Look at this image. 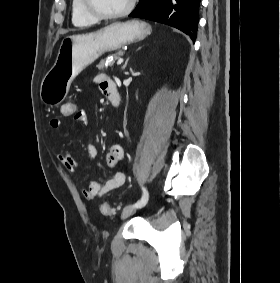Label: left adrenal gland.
<instances>
[{
	"label": "left adrenal gland",
	"mask_w": 280,
	"mask_h": 283,
	"mask_svg": "<svg viewBox=\"0 0 280 283\" xmlns=\"http://www.w3.org/2000/svg\"><path fill=\"white\" fill-rule=\"evenodd\" d=\"M129 58L125 61L124 65L122 66V70H124L128 64Z\"/></svg>",
	"instance_id": "a2214340"
}]
</instances>
